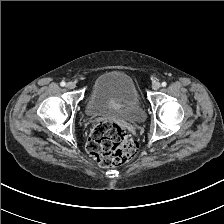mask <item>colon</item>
<instances>
[{"label":"colon","instance_id":"obj_1","mask_svg":"<svg viewBox=\"0 0 224 224\" xmlns=\"http://www.w3.org/2000/svg\"><path fill=\"white\" fill-rule=\"evenodd\" d=\"M138 145L128 131L118 123L98 122L87 143V151L103 167H117L130 161Z\"/></svg>","mask_w":224,"mask_h":224}]
</instances>
